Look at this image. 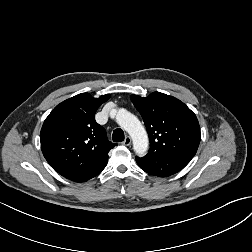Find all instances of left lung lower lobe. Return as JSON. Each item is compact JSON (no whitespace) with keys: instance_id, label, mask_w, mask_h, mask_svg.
Listing matches in <instances>:
<instances>
[{"instance_id":"0a47b994","label":"left lung lower lobe","mask_w":252,"mask_h":252,"mask_svg":"<svg viewBox=\"0 0 252 252\" xmlns=\"http://www.w3.org/2000/svg\"><path fill=\"white\" fill-rule=\"evenodd\" d=\"M190 160L191 158L176 155L136 157V161L142 170L158 177H167L179 172Z\"/></svg>"}]
</instances>
